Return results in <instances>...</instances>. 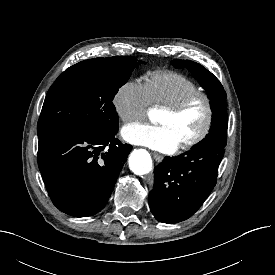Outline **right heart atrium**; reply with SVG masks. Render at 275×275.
<instances>
[{
	"mask_svg": "<svg viewBox=\"0 0 275 275\" xmlns=\"http://www.w3.org/2000/svg\"><path fill=\"white\" fill-rule=\"evenodd\" d=\"M112 103L124 123L142 119L151 104L145 85L137 80L124 82L116 90Z\"/></svg>",
	"mask_w": 275,
	"mask_h": 275,
	"instance_id": "obj_1",
	"label": "right heart atrium"
}]
</instances>
